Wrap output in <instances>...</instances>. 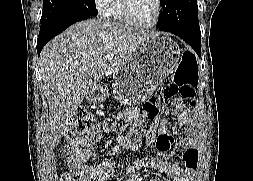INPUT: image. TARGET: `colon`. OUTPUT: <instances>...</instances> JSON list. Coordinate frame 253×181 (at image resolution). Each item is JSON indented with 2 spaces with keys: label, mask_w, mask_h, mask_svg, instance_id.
Returning <instances> with one entry per match:
<instances>
[{
  "label": "colon",
  "mask_w": 253,
  "mask_h": 181,
  "mask_svg": "<svg viewBox=\"0 0 253 181\" xmlns=\"http://www.w3.org/2000/svg\"><path fill=\"white\" fill-rule=\"evenodd\" d=\"M197 85V61L189 52L183 54L180 65L176 68L171 82L153 95L145 106V114L148 119L155 117L160 106L180 95L189 99L194 94ZM98 134V123L93 115L85 110L76 111L69 120L65 136L68 140L67 150L76 146H90L94 144ZM63 181H84L83 177L74 173H68Z\"/></svg>",
  "instance_id": "1"
}]
</instances>
